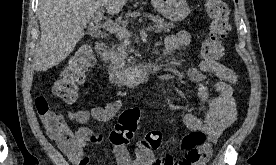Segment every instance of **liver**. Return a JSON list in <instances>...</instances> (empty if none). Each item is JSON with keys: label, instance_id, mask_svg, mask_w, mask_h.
<instances>
[{"label": "liver", "instance_id": "1", "mask_svg": "<svg viewBox=\"0 0 276 165\" xmlns=\"http://www.w3.org/2000/svg\"><path fill=\"white\" fill-rule=\"evenodd\" d=\"M127 0H40L41 29L34 69L47 71L65 60L84 36V28L102 7L118 14Z\"/></svg>", "mask_w": 276, "mask_h": 165}]
</instances>
